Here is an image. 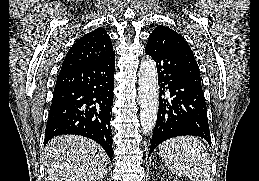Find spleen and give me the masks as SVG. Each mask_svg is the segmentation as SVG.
<instances>
[{"instance_id":"1","label":"spleen","mask_w":259,"mask_h":181,"mask_svg":"<svg viewBox=\"0 0 259 181\" xmlns=\"http://www.w3.org/2000/svg\"><path fill=\"white\" fill-rule=\"evenodd\" d=\"M165 166L176 176L191 181H212L211 159L207 147L197 137L179 136L159 146Z\"/></svg>"}]
</instances>
